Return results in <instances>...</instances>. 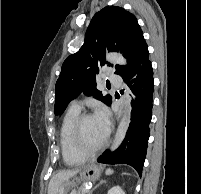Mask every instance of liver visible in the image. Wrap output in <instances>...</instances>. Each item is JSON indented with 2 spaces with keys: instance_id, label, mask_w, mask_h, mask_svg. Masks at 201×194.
<instances>
[{
  "instance_id": "1",
  "label": "liver",
  "mask_w": 201,
  "mask_h": 194,
  "mask_svg": "<svg viewBox=\"0 0 201 194\" xmlns=\"http://www.w3.org/2000/svg\"><path fill=\"white\" fill-rule=\"evenodd\" d=\"M80 171H81V169L59 171L50 180V183L48 185V194H57L59 191L60 185L64 181L74 177Z\"/></svg>"
}]
</instances>
